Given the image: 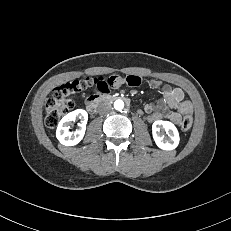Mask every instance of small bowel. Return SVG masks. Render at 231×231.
Segmentation results:
<instances>
[{"label": "small bowel", "mask_w": 231, "mask_h": 231, "mask_svg": "<svg viewBox=\"0 0 231 231\" xmlns=\"http://www.w3.org/2000/svg\"><path fill=\"white\" fill-rule=\"evenodd\" d=\"M143 80L138 76L121 77L112 75L98 81L92 89L83 97L84 102L87 104L91 100L98 98L101 93H109L111 89L118 88L123 84L130 87H138L142 84ZM150 87L153 89H161L163 98L155 103H149L145 106L144 111L148 116L150 122L167 118L174 124H179L182 116L192 114L193 106L190 101L184 99V92L179 87H171L163 85L158 80H152Z\"/></svg>", "instance_id": "1"}]
</instances>
